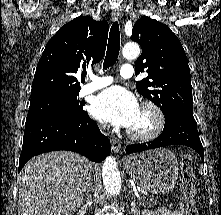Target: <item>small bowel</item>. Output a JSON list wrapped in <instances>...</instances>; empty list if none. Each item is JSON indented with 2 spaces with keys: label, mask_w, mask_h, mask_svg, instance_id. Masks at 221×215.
Wrapping results in <instances>:
<instances>
[{
  "label": "small bowel",
  "mask_w": 221,
  "mask_h": 215,
  "mask_svg": "<svg viewBox=\"0 0 221 215\" xmlns=\"http://www.w3.org/2000/svg\"><path fill=\"white\" fill-rule=\"evenodd\" d=\"M143 215H183V213L178 209L168 210L165 208H161L157 211H144Z\"/></svg>",
  "instance_id": "small-bowel-1"
}]
</instances>
